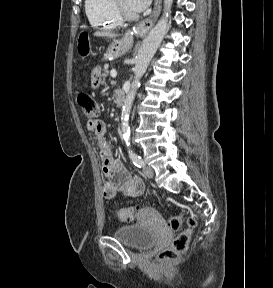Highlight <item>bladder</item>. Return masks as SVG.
<instances>
[{"mask_svg":"<svg viewBox=\"0 0 273 288\" xmlns=\"http://www.w3.org/2000/svg\"><path fill=\"white\" fill-rule=\"evenodd\" d=\"M113 235L125 246L136 250H147L157 241L156 233L141 225L119 227Z\"/></svg>","mask_w":273,"mask_h":288,"instance_id":"bladder-1","label":"bladder"}]
</instances>
